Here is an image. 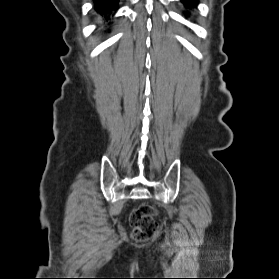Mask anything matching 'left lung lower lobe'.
Returning <instances> with one entry per match:
<instances>
[{
    "label": "left lung lower lobe",
    "instance_id": "1",
    "mask_svg": "<svg viewBox=\"0 0 279 279\" xmlns=\"http://www.w3.org/2000/svg\"><path fill=\"white\" fill-rule=\"evenodd\" d=\"M186 7H194L197 5L198 0H182Z\"/></svg>",
    "mask_w": 279,
    "mask_h": 279
}]
</instances>
